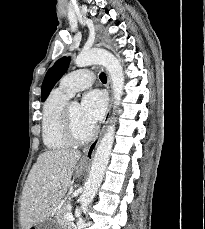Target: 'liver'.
<instances>
[{"label": "liver", "mask_w": 205, "mask_h": 229, "mask_svg": "<svg viewBox=\"0 0 205 229\" xmlns=\"http://www.w3.org/2000/svg\"><path fill=\"white\" fill-rule=\"evenodd\" d=\"M80 157L78 150L69 149L46 151L38 157L22 194V229H30L51 216L71 184Z\"/></svg>", "instance_id": "1"}]
</instances>
